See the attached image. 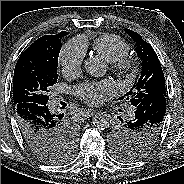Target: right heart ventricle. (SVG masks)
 Masks as SVG:
<instances>
[{"mask_svg":"<svg viewBox=\"0 0 184 184\" xmlns=\"http://www.w3.org/2000/svg\"><path fill=\"white\" fill-rule=\"evenodd\" d=\"M93 50L106 62L114 63L128 53L129 45L116 35L104 34L94 40Z\"/></svg>","mask_w":184,"mask_h":184,"instance_id":"right-heart-ventricle-1","label":"right heart ventricle"}]
</instances>
